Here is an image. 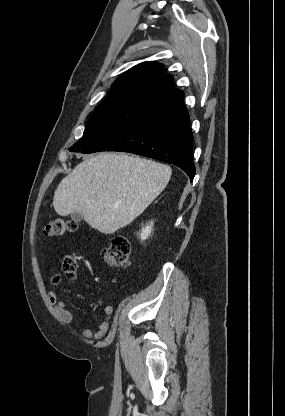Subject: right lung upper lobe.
<instances>
[{
	"label": "right lung upper lobe",
	"mask_w": 285,
	"mask_h": 416,
	"mask_svg": "<svg viewBox=\"0 0 285 416\" xmlns=\"http://www.w3.org/2000/svg\"><path fill=\"white\" fill-rule=\"evenodd\" d=\"M133 95L164 108L183 103V92L174 88L173 78L157 62L140 63L123 73L105 99Z\"/></svg>",
	"instance_id": "1"
}]
</instances>
